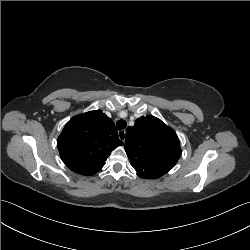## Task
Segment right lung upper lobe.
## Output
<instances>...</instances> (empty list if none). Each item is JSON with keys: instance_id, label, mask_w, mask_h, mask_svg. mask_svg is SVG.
I'll use <instances>...</instances> for the list:
<instances>
[{"instance_id": "1", "label": "right lung upper lobe", "mask_w": 250, "mask_h": 250, "mask_svg": "<svg viewBox=\"0 0 250 250\" xmlns=\"http://www.w3.org/2000/svg\"><path fill=\"white\" fill-rule=\"evenodd\" d=\"M62 161L74 172L97 173L117 146L123 144L113 121L101 110L70 119L58 138Z\"/></svg>"}]
</instances>
